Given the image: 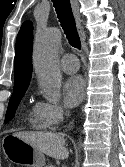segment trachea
I'll return each mask as SVG.
<instances>
[{"label": "trachea", "instance_id": "obj_1", "mask_svg": "<svg viewBox=\"0 0 125 167\" xmlns=\"http://www.w3.org/2000/svg\"><path fill=\"white\" fill-rule=\"evenodd\" d=\"M52 2L69 44L75 48L81 49L80 38L72 13L70 0H52Z\"/></svg>", "mask_w": 125, "mask_h": 167}]
</instances>
